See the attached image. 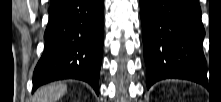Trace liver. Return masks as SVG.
<instances>
[{"label": "liver", "instance_id": "6515ba94", "mask_svg": "<svg viewBox=\"0 0 221 102\" xmlns=\"http://www.w3.org/2000/svg\"><path fill=\"white\" fill-rule=\"evenodd\" d=\"M67 91V85L63 83H52L39 88L33 97V102H56Z\"/></svg>", "mask_w": 221, "mask_h": 102}]
</instances>
